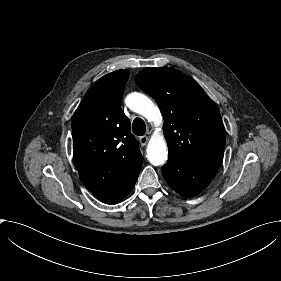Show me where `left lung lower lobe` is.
I'll return each instance as SVG.
<instances>
[{
  "instance_id": "left-lung-lower-lobe-1",
  "label": "left lung lower lobe",
  "mask_w": 281,
  "mask_h": 281,
  "mask_svg": "<svg viewBox=\"0 0 281 281\" xmlns=\"http://www.w3.org/2000/svg\"><path fill=\"white\" fill-rule=\"evenodd\" d=\"M218 168L215 164H190L169 158L162 173L173 190L184 197H193L209 185Z\"/></svg>"
}]
</instances>
